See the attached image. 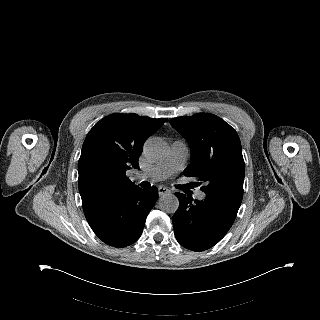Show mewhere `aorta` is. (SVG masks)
Masks as SVG:
<instances>
[{
	"label": "aorta",
	"instance_id": "1",
	"mask_svg": "<svg viewBox=\"0 0 320 320\" xmlns=\"http://www.w3.org/2000/svg\"><path fill=\"white\" fill-rule=\"evenodd\" d=\"M169 152L168 145L160 138H150L144 145V154L152 162L163 160ZM160 209L166 213H175L179 206L174 194H164L159 199Z\"/></svg>",
	"mask_w": 320,
	"mask_h": 320
}]
</instances>
